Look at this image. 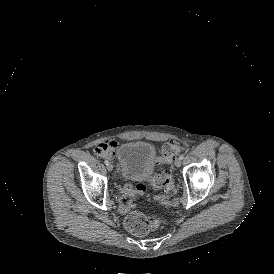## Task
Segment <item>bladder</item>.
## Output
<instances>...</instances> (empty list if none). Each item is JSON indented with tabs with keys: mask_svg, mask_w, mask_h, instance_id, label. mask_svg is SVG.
<instances>
[{
	"mask_svg": "<svg viewBox=\"0 0 274 274\" xmlns=\"http://www.w3.org/2000/svg\"><path fill=\"white\" fill-rule=\"evenodd\" d=\"M156 147L144 140H127L119 145L115 157L122 167L121 179L146 180L156 169Z\"/></svg>",
	"mask_w": 274,
	"mask_h": 274,
	"instance_id": "31cf9c89",
	"label": "bladder"
}]
</instances>
